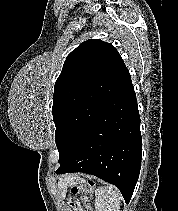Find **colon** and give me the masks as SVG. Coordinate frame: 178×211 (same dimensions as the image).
Instances as JSON below:
<instances>
[{
    "label": "colon",
    "mask_w": 178,
    "mask_h": 211,
    "mask_svg": "<svg viewBox=\"0 0 178 211\" xmlns=\"http://www.w3.org/2000/svg\"><path fill=\"white\" fill-rule=\"evenodd\" d=\"M94 190V182L87 181L84 183L75 184L71 187L68 195L69 204L73 205L79 201H87Z\"/></svg>",
    "instance_id": "1"
}]
</instances>
